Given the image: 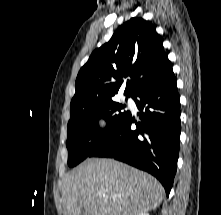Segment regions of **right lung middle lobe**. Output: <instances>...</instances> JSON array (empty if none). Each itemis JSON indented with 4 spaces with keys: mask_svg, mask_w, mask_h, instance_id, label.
I'll use <instances>...</instances> for the list:
<instances>
[{
    "mask_svg": "<svg viewBox=\"0 0 221 215\" xmlns=\"http://www.w3.org/2000/svg\"><path fill=\"white\" fill-rule=\"evenodd\" d=\"M125 107V104H119L114 99L70 105L71 118L66 142L69 166L82 162L115 131L129 113L122 111ZM99 118L106 120V128H99Z\"/></svg>",
    "mask_w": 221,
    "mask_h": 215,
    "instance_id": "right-lung-middle-lobe-1",
    "label": "right lung middle lobe"
}]
</instances>
